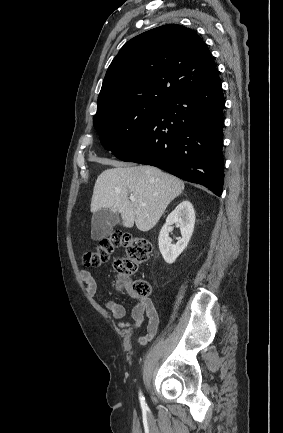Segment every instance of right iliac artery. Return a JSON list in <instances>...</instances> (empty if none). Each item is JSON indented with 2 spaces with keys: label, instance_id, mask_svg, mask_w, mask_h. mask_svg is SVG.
Instances as JSON below:
<instances>
[{
  "label": "right iliac artery",
  "instance_id": "1",
  "mask_svg": "<svg viewBox=\"0 0 283 433\" xmlns=\"http://www.w3.org/2000/svg\"><path fill=\"white\" fill-rule=\"evenodd\" d=\"M139 399H140L142 409L146 410L148 407H147V404L145 403V398L142 396L141 393H140Z\"/></svg>",
  "mask_w": 283,
  "mask_h": 433
}]
</instances>
